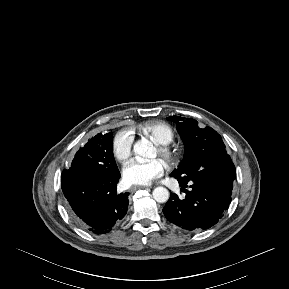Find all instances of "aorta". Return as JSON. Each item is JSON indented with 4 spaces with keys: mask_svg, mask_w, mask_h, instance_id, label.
I'll use <instances>...</instances> for the list:
<instances>
[{
    "mask_svg": "<svg viewBox=\"0 0 289 289\" xmlns=\"http://www.w3.org/2000/svg\"><path fill=\"white\" fill-rule=\"evenodd\" d=\"M135 155L142 158H151L153 152V145L147 140L137 141L133 146ZM153 198L158 203L167 202L169 199V191L165 187H156L153 190Z\"/></svg>",
    "mask_w": 289,
    "mask_h": 289,
    "instance_id": "762f6f07",
    "label": "aorta"
}]
</instances>
